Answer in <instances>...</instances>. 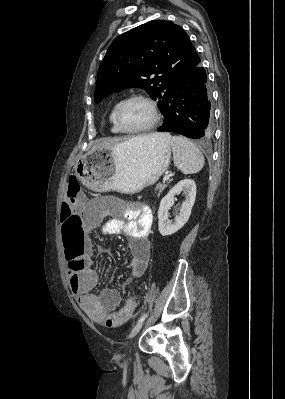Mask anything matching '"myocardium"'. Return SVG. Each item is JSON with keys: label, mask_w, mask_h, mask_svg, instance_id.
<instances>
[{"label": "myocardium", "mask_w": 285, "mask_h": 399, "mask_svg": "<svg viewBox=\"0 0 285 399\" xmlns=\"http://www.w3.org/2000/svg\"><path fill=\"white\" fill-rule=\"evenodd\" d=\"M133 100H142V101L146 102L151 107V109L153 111L152 120L148 124H146L142 127L128 128L122 122V119H121L122 110L125 107V105H127L129 102H131ZM115 120H116L117 126L125 133H142V132L149 131L150 129L154 128L159 123L160 110L158 108L157 103L151 97H149L147 95H143V94H133V95L126 97L119 103V105L116 108V112H115Z\"/></svg>", "instance_id": "f54148a6"}]
</instances>
